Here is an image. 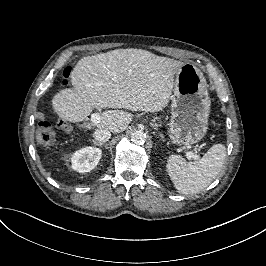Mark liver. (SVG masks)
Wrapping results in <instances>:
<instances>
[{"label": "liver", "mask_w": 266, "mask_h": 266, "mask_svg": "<svg viewBox=\"0 0 266 266\" xmlns=\"http://www.w3.org/2000/svg\"><path fill=\"white\" fill-rule=\"evenodd\" d=\"M182 62L142 49H115L80 59L71 72L74 89L60 90L52 99L59 118L81 122L93 108H112L100 115L98 129L125 131L133 115L127 111L157 112L168 104L174 75Z\"/></svg>", "instance_id": "6515ba94"}]
</instances>
